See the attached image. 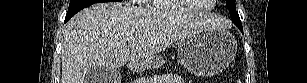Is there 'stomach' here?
Returning <instances> with one entry per match:
<instances>
[{
    "label": "stomach",
    "mask_w": 307,
    "mask_h": 83,
    "mask_svg": "<svg viewBox=\"0 0 307 83\" xmlns=\"http://www.w3.org/2000/svg\"><path fill=\"white\" fill-rule=\"evenodd\" d=\"M237 51V42L227 31L197 33L178 42L181 64L197 76H212L231 63ZM163 63L161 57L147 60L145 67L156 68ZM143 66L138 69L142 70Z\"/></svg>",
    "instance_id": "stomach-1"
}]
</instances>
